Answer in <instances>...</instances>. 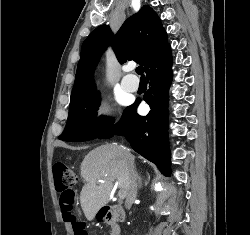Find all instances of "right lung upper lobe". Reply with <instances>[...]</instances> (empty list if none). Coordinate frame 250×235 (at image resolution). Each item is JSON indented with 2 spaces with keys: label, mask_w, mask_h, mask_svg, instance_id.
<instances>
[{
  "label": "right lung upper lobe",
  "mask_w": 250,
  "mask_h": 235,
  "mask_svg": "<svg viewBox=\"0 0 250 235\" xmlns=\"http://www.w3.org/2000/svg\"><path fill=\"white\" fill-rule=\"evenodd\" d=\"M110 44L120 63L135 60L144 66L145 71L169 45L160 18L148 5L127 19L115 36L109 26L97 27L82 44L71 101L96 89L93 72Z\"/></svg>",
  "instance_id": "right-lung-upper-lobe-1"
}]
</instances>
